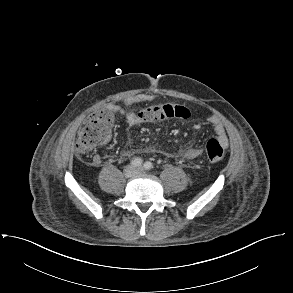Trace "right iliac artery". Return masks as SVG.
<instances>
[{"instance_id": "1", "label": "right iliac artery", "mask_w": 293, "mask_h": 293, "mask_svg": "<svg viewBox=\"0 0 293 293\" xmlns=\"http://www.w3.org/2000/svg\"><path fill=\"white\" fill-rule=\"evenodd\" d=\"M142 163H143V160L141 158H135L131 161V165H133L134 167L141 166Z\"/></svg>"}]
</instances>
